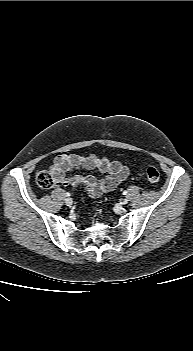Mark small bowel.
I'll return each instance as SVG.
<instances>
[{"label": "small bowel", "instance_id": "small-bowel-1", "mask_svg": "<svg viewBox=\"0 0 193 351\" xmlns=\"http://www.w3.org/2000/svg\"><path fill=\"white\" fill-rule=\"evenodd\" d=\"M78 168L96 170L103 177L68 175V172ZM50 173L57 185L69 186L83 182L87 185L90 196L100 197L102 194L117 188L126 179L129 170L119 161H111L95 154H64L54 159Z\"/></svg>", "mask_w": 193, "mask_h": 351}]
</instances>
